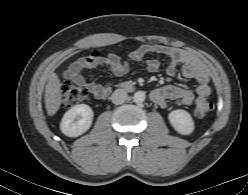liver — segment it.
Returning a JSON list of instances; mask_svg holds the SVG:
<instances>
[{
    "label": "liver",
    "instance_id": "liver-1",
    "mask_svg": "<svg viewBox=\"0 0 248 195\" xmlns=\"http://www.w3.org/2000/svg\"><path fill=\"white\" fill-rule=\"evenodd\" d=\"M62 102L61 82L56 73L50 74L45 88V107L47 114L53 116Z\"/></svg>",
    "mask_w": 248,
    "mask_h": 195
}]
</instances>
